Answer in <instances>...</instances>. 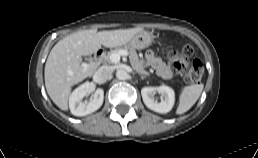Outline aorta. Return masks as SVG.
<instances>
[{"instance_id": "obj_1", "label": "aorta", "mask_w": 258, "mask_h": 158, "mask_svg": "<svg viewBox=\"0 0 258 158\" xmlns=\"http://www.w3.org/2000/svg\"><path fill=\"white\" fill-rule=\"evenodd\" d=\"M116 77H117L119 80H126L127 77H128V73H127L124 69H119V70H117V72H116Z\"/></svg>"}]
</instances>
